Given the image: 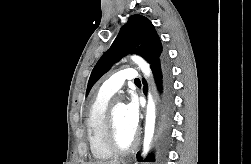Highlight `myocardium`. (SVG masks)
I'll return each instance as SVG.
<instances>
[{
  "instance_id": "myocardium-1",
  "label": "myocardium",
  "mask_w": 251,
  "mask_h": 164,
  "mask_svg": "<svg viewBox=\"0 0 251 164\" xmlns=\"http://www.w3.org/2000/svg\"><path fill=\"white\" fill-rule=\"evenodd\" d=\"M114 107L111 106L107 112L106 118V139L110 149L115 154H127L134 151L139 144V135L138 133L134 134L132 142L128 146H122L117 137L116 122L114 117Z\"/></svg>"
}]
</instances>
